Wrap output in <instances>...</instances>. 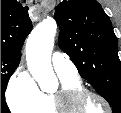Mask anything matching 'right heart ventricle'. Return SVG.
I'll return each mask as SVG.
<instances>
[{
	"label": "right heart ventricle",
	"mask_w": 121,
	"mask_h": 113,
	"mask_svg": "<svg viewBox=\"0 0 121 113\" xmlns=\"http://www.w3.org/2000/svg\"><path fill=\"white\" fill-rule=\"evenodd\" d=\"M62 87H81L77 77L59 76ZM24 113H59L55 105L54 96L51 93L41 92L38 104L30 111Z\"/></svg>",
	"instance_id": "obj_1"
}]
</instances>
